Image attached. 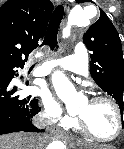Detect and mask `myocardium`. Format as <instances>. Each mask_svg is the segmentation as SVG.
Listing matches in <instances>:
<instances>
[{"instance_id": "obj_1", "label": "myocardium", "mask_w": 124, "mask_h": 149, "mask_svg": "<svg viewBox=\"0 0 124 149\" xmlns=\"http://www.w3.org/2000/svg\"><path fill=\"white\" fill-rule=\"evenodd\" d=\"M90 103L106 102L109 103L114 109L117 118V130L116 133L110 138H103L95 135L90 128L87 126L85 120L81 116H77V123L79 129L89 138L94 141L101 143H110L116 141L124 131V114L119 106V104L112 98L108 96H94L89 100Z\"/></svg>"}]
</instances>
